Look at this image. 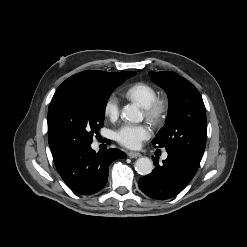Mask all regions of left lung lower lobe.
<instances>
[{"mask_svg": "<svg viewBox=\"0 0 247 247\" xmlns=\"http://www.w3.org/2000/svg\"><path fill=\"white\" fill-rule=\"evenodd\" d=\"M202 158L187 153L168 152L163 165L154 158L155 169L139 179L141 191L155 199H168L194 177Z\"/></svg>", "mask_w": 247, "mask_h": 247, "instance_id": "1", "label": "left lung lower lobe"}]
</instances>
